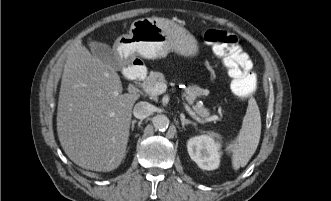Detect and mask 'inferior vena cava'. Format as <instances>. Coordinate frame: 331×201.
<instances>
[{
	"instance_id": "obj_1",
	"label": "inferior vena cava",
	"mask_w": 331,
	"mask_h": 201,
	"mask_svg": "<svg viewBox=\"0 0 331 201\" xmlns=\"http://www.w3.org/2000/svg\"><path fill=\"white\" fill-rule=\"evenodd\" d=\"M152 105L145 101L138 102L133 109V115L138 119H145L152 113Z\"/></svg>"
}]
</instances>
